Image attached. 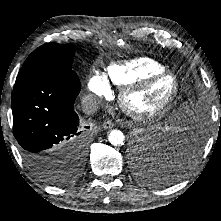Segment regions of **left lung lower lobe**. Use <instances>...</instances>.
<instances>
[{
	"mask_svg": "<svg viewBox=\"0 0 221 221\" xmlns=\"http://www.w3.org/2000/svg\"><path fill=\"white\" fill-rule=\"evenodd\" d=\"M183 133L164 145L152 137L150 143L134 142L132 156L139 164V177L144 182L162 187L180 180L194 165L201 145L196 141L203 134V123L185 122Z\"/></svg>",
	"mask_w": 221,
	"mask_h": 221,
	"instance_id": "left-lung-lower-lobe-1",
	"label": "left lung lower lobe"
}]
</instances>
